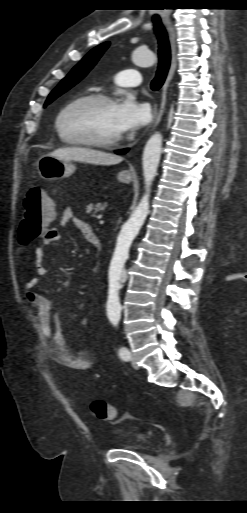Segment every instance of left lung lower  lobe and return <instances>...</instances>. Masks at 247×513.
<instances>
[{"label":"left lung lower lobe","mask_w":247,"mask_h":513,"mask_svg":"<svg viewBox=\"0 0 247 513\" xmlns=\"http://www.w3.org/2000/svg\"><path fill=\"white\" fill-rule=\"evenodd\" d=\"M126 152H127V149H125V150H121V151H117L116 153H117V154H124V153H126Z\"/></svg>","instance_id":"0a47b994"}]
</instances>
